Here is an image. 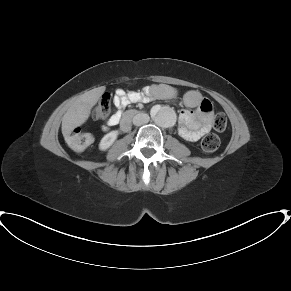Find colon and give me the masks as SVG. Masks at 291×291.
Instances as JSON below:
<instances>
[{"instance_id": "5ec220e1", "label": "colon", "mask_w": 291, "mask_h": 291, "mask_svg": "<svg viewBox=\"0 0 291 291\" xmlns=\"http://www.w3.org/2000/svg\"><path fill=\"white\" fill-rule=\"evenodd\" d=\"M112 108V96L109 92L102 95V98L93 111V117L96 120H106L109 118ZM227 125V119L224 114L218 113L213 122V126L217 130H224ZM92 140V134L83 129L75 130L70 136L68 143L70 147L76 151L85 149ZM202 149L205 152H214L220 146V139L214 134H209L202 139Z\"/></svg>"}]
</instances>
